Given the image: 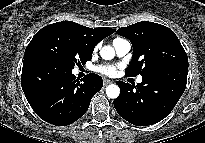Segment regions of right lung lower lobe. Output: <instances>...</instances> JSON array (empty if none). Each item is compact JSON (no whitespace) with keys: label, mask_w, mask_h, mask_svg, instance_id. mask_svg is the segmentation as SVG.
I'll return each mask as SVG.
<instances>
[{"label":"right lung lower lobe","mask_w":205,"mask_h":143,"mask_svg":"<svg viewBox=\"0 0 205 143\" xmlns=\"http://www.w3.org/2000/svg\"><path fill=\"white\" fill-rule=\"evenodd\" d=\"M21 85L30 106L41 119L66 126L86 113L103 80L91 73L79 81L72 69L50 58L30 54L24 56Z\"/></svg>","instance_id":"98d812e1"}]
</instances>
